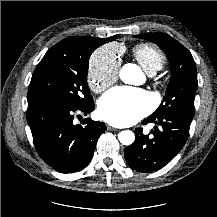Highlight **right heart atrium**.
<instances>
[{
    "label": "right heart atrium",
    "instance_id": "obj_1",
    "mask_svg": "<svg viewBox=\"0 0 217 217\" xmlns=\"http://www.w3.org/2000/svg\"><path fill=\"white\" fill-rule=\"evenodd\" d=\"M119 67V51L116 46L98 48L90 58L87 73L91 89L100 93L109 88L118 78Z\"/></svg>",
    "mask_w": 217,
    "mask_h": 217
}]
</instances>
